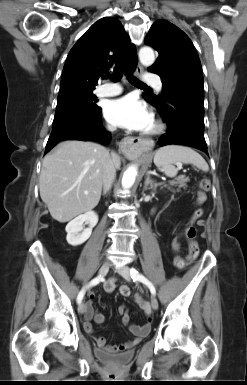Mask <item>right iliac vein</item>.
Returning <instances> with one entry per match:
<instances>
[{
	"mask_svg": "<svg viewBox=\"0 0 247 385\" xmlns=\"http://www.w3.org/2000/svg\"><path fill=\"white\" fill-rule=\"evenodd\" d=\"M109 268H110V263L108 261H105L100 270H99V275L100 276H105L107 274V272L109 271ZM86 311V306H85V303H80L79 306H78V312L80 314H84Z\"/></svg>",
	"mask_w": 247,
	"mask_h": 385,
	"instance_id": "right-iliac-vein-1",
	"label": "right iliac vein"
}]
</instances>
